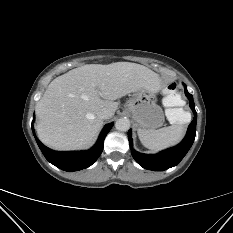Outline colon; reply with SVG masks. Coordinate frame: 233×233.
<instances>
[{
    "mask_svg": "<svg viewBox=\"0 0 233 233\" xmlns=\"http://www.w3.org/2000/svg\"><path fill=\"white\" fill-rule=\"evenodd\" d=\"M163 104L166 115L172 123L182 125L188 122L190 114L175 83L164 87Z\"/></svg>",
    "mask_w": 233,
    "mask_h": 233,
    "instance_id": "obj_1",
    "label": "colon"
}]
</instances>
